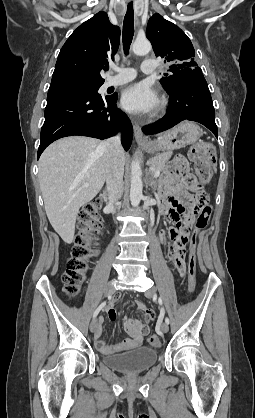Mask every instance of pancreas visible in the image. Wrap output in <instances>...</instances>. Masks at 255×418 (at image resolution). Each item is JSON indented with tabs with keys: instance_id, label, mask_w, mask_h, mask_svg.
<instances>
[{
	"instance_id": "1",
	"label": "pancreas",
	"mask_w": 255,
	"mask_h": 418,
	"mask_svg": "<svg viewBox=\"0 0 255 418\" xmlns=\"http://www.w3.org/2000/svg\"><path fill=\"white\" fill-rule=\"evenodd\" d=\"M172 156V152H166L162 153L158 156H155L148 160V164L151 166L152 170L151 173H154V171H162L165 169L166 162L170 159Z\"/></svg>"
}]
</instances>
